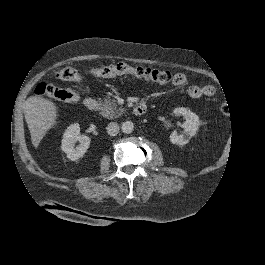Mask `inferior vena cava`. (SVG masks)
<instances>
[{
    "mask_svg": "<svg viewBox=\"0 0 265 265\" xmlns=\"http://www.w3.org/2000/svg\"><path fill=\"white\" fill-rule=\"evenodd\" d=\"M107 132L110 136H115L119 132V125L116 122H111L107 126Z\"/></svg>",
    "mask_w": 265,
    "mask_h": 265,
    "instance_id": "obj_1",
    "label": "inferior vena cava"
}]
</instances>
